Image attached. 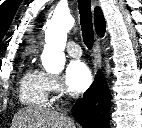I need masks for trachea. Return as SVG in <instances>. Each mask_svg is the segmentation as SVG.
<instances>
[{
  "mask_svg": "<svg viewBox=\"0 0 142 128\" xmlns=\"http://www.w3.org/2000/svg\"><path fill=\"white\" fill-rule=\"evenodd\" d=\"M82 36L85 45L91 49L94 43V31L90 0H78Z\"/></svg>",
  "mask_w": 142,
  "mask_h": 128,
  "instance_id": "obj_1",
  "label": "trachea"
}]
</instances>
